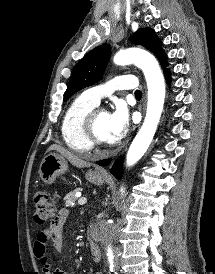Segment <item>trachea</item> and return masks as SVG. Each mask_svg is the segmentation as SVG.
<instances>
[{
  "instance_id": "trachea-1",
  "label": "trachea",
  "mask_w": 215,
  "mask_h": 274,
  "mask_svg": "<svg viewBox=\"0 0 215 274\" xmlns=\"http://www.w3.org/2000/svg\"><path fill=\"white\" fill-rule=\"evenodd\" d=\"M135 96L136 97H142V92L140 90L135 91Z\"/></svg>"
}]
</instances>
